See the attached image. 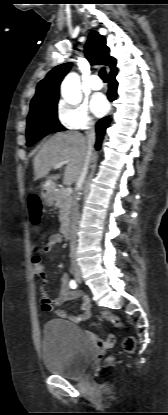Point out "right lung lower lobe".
Instances as JSON below:
<instances>
[{
	"label": "right lung lower lobe",
	"mask_w": 168,
	"mask_h": 415,
	"mask_svg": "<svg viewBox=\"0 0 168 415\" xmlns=\"http://www.w3.org/2000/svg\"><path fill=\"white\" fill-rule=\"evenodd\" d=\"M116 74H117V70L111 72L108 75V79H109L108 99L110 101H113L116 98V96H117V86H118V83H117V81L115 79ZM109 122H110V119L108 117H105V118L99 120L97 122V124H96V143H95V148L97 150H99L100 147H101V143H102V140H103V137H104V134H105V130L108 127Z\"/></svg>",
	"instance_id": "right-lung-lower-lobe-1"
}]
</instances>
